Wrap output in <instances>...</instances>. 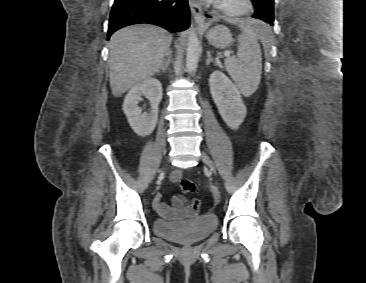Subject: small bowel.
I'll list each match as a JSON object with an SVG mask.
<instances>
[{
  "mask_svg": "<svg viewBox=\"0 0 366 283\" xmlns=\"http://www.w3.org/2000/svg\"><path fill=\"white\" fill-rule=\"evenodd\" d=\"M182 177L181 170H175L172 172L170 179L172 182H178ZM154 205L157 211L164 217L172 218L174 216L173 210H171L165 203L161 201V195L157 194L154 198ZM174 209L178 213H182L183 211V202L180 198L174 199Z\"/></svg>",
  "mask_w": 366,
  "mask_h": 283,
  "instance_id": "1",
  "label": "small bowel"
}]
</instances>
